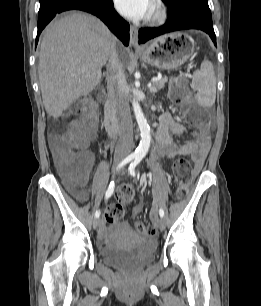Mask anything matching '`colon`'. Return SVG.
I'll return each mask as SVG.
<instances>
[{
  "instance_id": "colon-1",
  "label": "colon",
  "mask_w": 261,
  "mask_h": 306,
  "mask_svg": "<svg viewBox=\"0 0 261 306\" xmlns=\"http://www.w3.org/2000/svg\"><path fill=\"white\" fill-rule=\"evenodd\" d=\"M170 95L175 103L183 105L187 121L203 133L209 125V118L189 102V90L178 83H173ZM70 116L72 121L63 137L64 145L58 149L59 171L65 182L76 186L85 183L89 174V163L84 149L96 133L98 118L95 104L88 99L78 100L72 106ZM173 176L177 183V196L180 198L186 196L194 178L191 162L184 157L176 159L173 164ZM133 197L132 186L121 185L118 189L117 202L105 210L106 221L113 223L121 220L126 214L127 204ZM134 226L143 237L151 238L156 234L155 227L149 223L137 221Z\"/></svg>"
}]
</instances>
